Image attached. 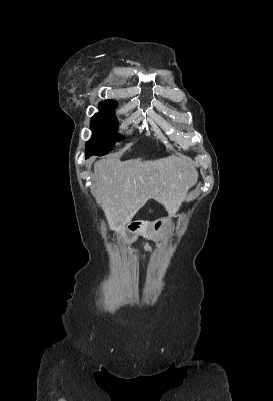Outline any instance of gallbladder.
<instances>
[{
	"label": "gallbladder",
	"mask_w": 273,
	"mask_h": 401,
	"mask_svg": "<svg viewBox=\"0 0 273 401\" xmlns=\"http://www.w3.org/2000/svg\"><path fill=\"white\" fill-rule=\"evenodd\" d=\"M120 232H121V233H124V232H125V229H124V228H121V229H120ZM126 236H127L128 244H129V245H134V244H135L134 238L137 236V233H136L135 231H132L131 233H130V232H127V233H126ZM126 243H127V242H126Z\"/></svg>",
	"instance_id": "gallbladder-1"
}]
</instances>
